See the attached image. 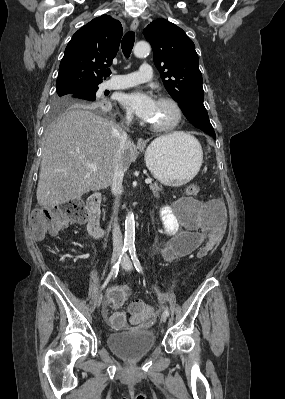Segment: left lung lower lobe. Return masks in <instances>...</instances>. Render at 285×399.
Returning a JSON list of instances; mask_svg holds the SVG:
<instances>
[{"label":"left lung lower lobe","mask_w":285,"mask_h":399,"mask_svg":"<svg viewBox=\"0 0 285 399\" xmlns=\"http://www.w3.org/2000/svg\"><path fill=\"white\" fill-rule=\"evenodd\" d=\"M214 139H216V135L214 134V135H211Z\"/></svg>","instance_id":"0a47b994"}]
</instances>
